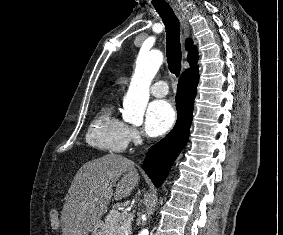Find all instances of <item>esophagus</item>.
I'll use <instances>...</instances> for the list:
<instances>
[{
	"mask_svg": "<svg viewBox=\"0 0 283 235\" xmlns=\"http://www.w3.org/2000/svg\"><path fill=\"white\" fill-rule=\"evenodd\" d=\"M170 4L179 18V21L183 28L184 37L185 38L188 37L189 36V26H188L184 11L181 9V7L177 3L171 1Z\"/></svg>",
	"mask_w": 283,
	"mask_h": 235,
	"instance_id": "obj_1",
	"label": "esophagus"
}]
</instances>
